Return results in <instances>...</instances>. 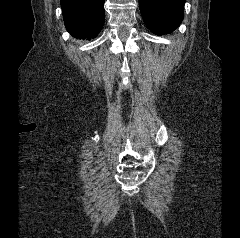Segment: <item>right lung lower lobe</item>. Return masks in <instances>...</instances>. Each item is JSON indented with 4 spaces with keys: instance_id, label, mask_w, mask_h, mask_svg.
<instances>
[{
    "instance_id": "98d812e1",
    "label": "right lung lower lobe",
    "mask_w": 240,
    "mask_h": 238,
    "mask_svg": "<svg viewBox=\"0 0 240 238\" xmlns=\"http://www.w3.org/2000/svg\"><path fill=\"white\" fill-rule=\"evenodd\" d=\"M64 24L74 37L94 38L104 20V0H60Z\"/></svg>"
}]
</instances>
